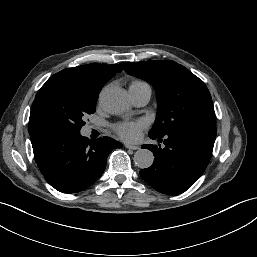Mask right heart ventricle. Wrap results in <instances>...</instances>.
Returning a JSON list of instances; mask_svg holds the SVG:
<instances>
[{"label": "right heart ventricle", "instance_id": "obj_1", "mask_svg": "<svg viewBox=\"0 0 257 257\" xmlns=\"http://www.w3.org/2000/svg\"><path fill=\"white\" fill-rule=\"evenodd\" d=\"M146 86H148V85L145 82L140 81V80H134L131 83L130 88L137 89V88L146 87Z\"/></svg>", "mask_w": 257, "mask_h": 257}]
</instances>
